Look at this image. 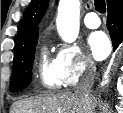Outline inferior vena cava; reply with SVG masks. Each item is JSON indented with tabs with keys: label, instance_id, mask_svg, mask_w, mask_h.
I'll list each match as a JSON object with an SVG mask.
<instances>
[{
	"label": "inferior vena cava",
	"instance_id": "obj_1",
	"mask_svg": "<svg viewBox=\"0 0 123 113\" xmlns=\"http://www.w3.org/2000/svg\"><path fill=\"white\" fill-rule=\"evenodd\" d=\"M96 75V68L92 62H87L85 71L80 78V82L76 87V93L86 101H92L93 95L91 94V88L94 84Z\"/></svg>",
	"mask_w": 123,
	"mask_h": 113
}]
</instances>
